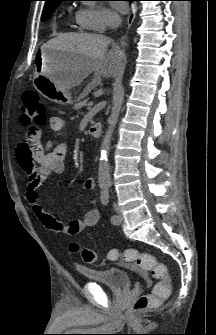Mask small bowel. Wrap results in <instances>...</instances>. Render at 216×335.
I'll return each instance as SVG.
<instances>
[{"mask_svg": "<svg viewBox=\"0 0 216 335\" xmlns=\"http://www.w3.org/2000/svg\"><path fill=\"white\" fill-rule=\"evenodd\" d=\"M65 127L66 123L62 117L50 118V128L53 131L63 132ZM25 134L28 135L26 142L20 144L17 156L26 177L25 200L37 219L52 232L67 236L77 235L85 229L97 225L100 220V212L95 207L89 208L82 219L70 222L56 219L41 207L37 189L50 176L64 172L68 144L66 141L58 144L49 141L43 145L41 143L43 131H40L39 124H28ZM94 186V177H87L84 180L86 189L91 190Z\"/></svg>", "mask_w": 216, "mask_h": 335, "instance_id": "small-bowel-1", "label": "small bowel"}]
</instances>
